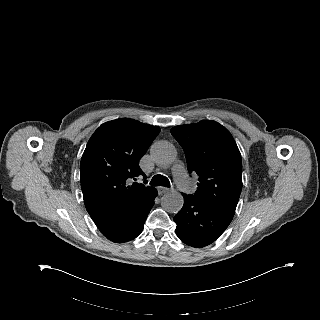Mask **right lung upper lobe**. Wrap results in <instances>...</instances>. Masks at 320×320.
Segmentation results:
<instances>
[{"instance_id":"right-lung-upper-lobe-1","label":"right lung upper lobe","mask_w":320,"mask_h":320,"mask_svg":"<svg viewBox=\"0 0 320 320\" xmlns=\"http://www.w3.org/2000/svg\"><path fill=\"white\" fill-rule=\"evenodd\" d=\"M159 132L157 126L126 118L94 132L80 164L84 203L94 222L142 204L155 190L133 180L145 176L138 163Z\"/></svg>"}]
</instances>
